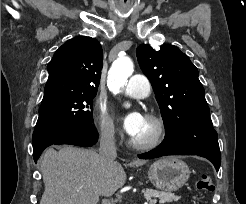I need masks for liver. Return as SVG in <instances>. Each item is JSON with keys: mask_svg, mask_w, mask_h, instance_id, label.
<instances>
[{"mask_svg": "<svg viewBox=\"0 0 246 204\" xmlns=\"http://www.w3.org/2000/svg\"><path fill=\"white\" fill-rule=\"evenodd\" d=\"M145 160L128 165L139 167ZM44 193L40 204H97L100 196L110 197L126 182L121 164L105 163L91 149L64 146L49 148L40 164Z\"/></svg>", "mask_w": 246, "mask_h": 204, "instance_id": "6515ba94", "label": "liver"}]
</instances>
